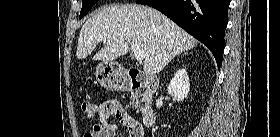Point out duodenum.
Masks as SVG:
<instances>
[{"mask_svg":"<svg viewBox=\"0 0 280 137\" xmlns=\"http://www.w3.org/2000/svg\"><path fill=\"white\" fill-rule=\"evenodd\" d=\"M159 80L155 77L144 76L138 72H129L127 75V85L131 90H145V97H151L159 88ZM156 120L153 109H145L143 111V124L151 128L154 126Z\"/></svg>","mask_w":280,"mask_h":137,"instance_id":"obj_1","label":"duodenum"}]
</instances>
